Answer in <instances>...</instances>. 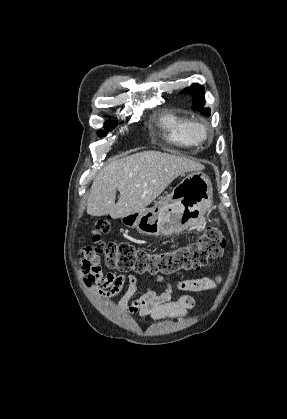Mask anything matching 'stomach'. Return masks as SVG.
Here are the masks:
<instances>
[{
	"mask_svg": "<svg viewBox=\"0 0 287 419\" xmlns=\"http://www.w3.org/2000/svg\"><path fill=\"white\" fill-rule=\"evenodd\" d=\"M212 198L213 188L209 177L195 171L152 207L124 215L121 222L144 235L171 236L195 226L211 207Z\"/></svg>",
	"mask_w": 287,
	"mask_h": 419,
	"instance_id": "0dacf381",
	"label": "stomach"
}]
</instances>
